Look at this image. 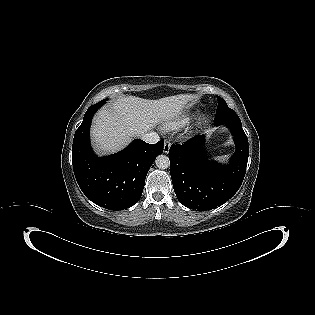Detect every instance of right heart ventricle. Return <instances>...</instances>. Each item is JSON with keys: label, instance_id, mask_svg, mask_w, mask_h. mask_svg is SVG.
Here are the masks:
<instances>
[{"label": "right heart ventricle", "instance_id": "e07e8e85", "mask_svg": "<svg viewBox=\"0 0 315 315\" xmlns=\"http://www.w3.org/2000/svg\"><path fill=\"white\" fill-rule=\"evenodd\" d=\"M193 113L191 112H184L180 115L173 117L172 119L168 120L164 125L163 129L166 131H176L183 127H185L192 119Z\"/></svg>", "mask_w": 315, "mask_h": 315}]
</instances>
